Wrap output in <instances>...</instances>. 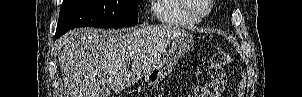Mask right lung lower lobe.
<instances>
[{"instance_id": "98d812e1", "label": "right lung lower lobe", "mask_w": 302, "mask_h": 97, "mask_svg": "<svg viewBox=\"0 0 302 97\" xmlns=\"http://www.w3.org/2000/svg\"><path fill=\"white\" fill-rule=\"evenodd\" d=\"M60 36H61V34H59V33L56 32V34H55V39H57V38L60 37Z\"/></svg>"}]
</instances>
